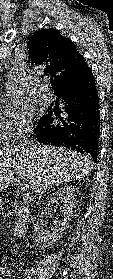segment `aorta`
I'll list each match as a JSON object with an SVG mask.
<instances>
[{
	"label": "aorta",
	"instance_id": "aorta-1",
	"mask_svg": "<svg viewBox=\"0 0 113 279\" xmlns=\"http://www.w3.org/2000/svg\"><path fill=\"white\" fill-rule=\"evenodd\" d=\"M10 94L13 98H17V96H18L17 88H10Z\"/></svg>",
	"mask_w": 113,
	"mask_h": 279
}]
</instances>
